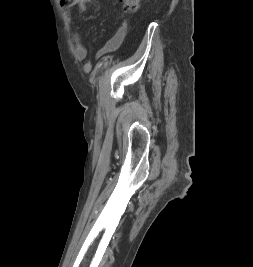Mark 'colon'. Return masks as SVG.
Masks as SVG:
<instances>
[{
	"label": "colon",
	"mask_w": 253,
	"mask_h": 267,
	"mask_svg": "<svg viewBox=\"0 0 253 267\" xmlns=\"http://www.w3.org/2000/svg\"><path fill=\"white\" fill-rule=\"evenodd\" d=\"M84 0H61L64 6H73ZM124 6V10L128 13H132L138 10L140 5V0H121Z\"/></svg>",
	"instance_id": "obj_1"
}]
</instances>
